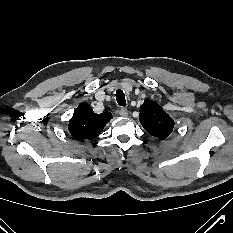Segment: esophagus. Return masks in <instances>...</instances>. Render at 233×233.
I'll use <instances>...</instances> for the list:
<instances>
[{
    "label": "esophagus",
    "instance_id": "1",
    "mask_svg": "<svg viewBox=\"0 0 233 233\" xmlns=\"http://www.w3.org/2000/svg\"><path fill=\"white\" fill-rule=\"evenodd\" d=\"M119 114L122 116V117H126L128 116V110L126 108H121L119 110Z\"/></svg>",
    "mask_w": 233,
    "mask_h": 233
}]
</instances>
